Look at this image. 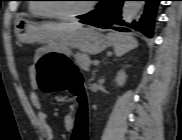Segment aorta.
I'll return each mask as SVG.
<instances>
[{"label":"aorta","mask_w":182,"mask_h":140,"mask_svg":"<svg viewBox=\"0 0 182 140\" xmlns=\"http://www.w3.org/2000/svg\"><path fill=\"white\" fill-rule=\"evenodd\" d=\"M143 1H125L122 8V19L125 22L132 21L143 6Z\"/></svg>","instance_id":"obj_1"}]
</instances>
